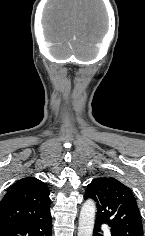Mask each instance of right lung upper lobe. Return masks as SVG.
<instances>
[{"label":"right lung upper lobe","instance_id":"cb5924a9","mask_svg":"<svg viewBox=\"0 0 145 236\" xmlns=\"http://www.w3.org/2000/svg\"><path fill=\"white\" fill-rule=\"evenodd\" d=\"M50 213L49 188L33 177L17 181L0 202V228Z\"/></svg>","mask_w":145,"mask_h":236}]
</instances>
